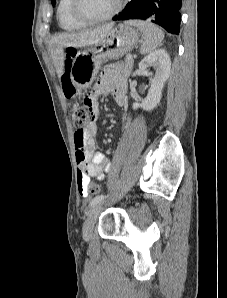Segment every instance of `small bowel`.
<instances>
[{"mask_svg":"<svg viewBox=\"0 0 227 298\" xmlns=\"http://www.w3.org/2000/svg\"><path fill=\"white\" fill-rule=\"evenodd\" d=\"M127 84L124 77L111 69L104 70L96 81L91 98H83L84 108L87 109L88 115H95L90 117V125L84 131L85 139V158L78 159L76 155L78 173H86V178H78L79 185L81 183H89L91 178L102 181L111 167V160L109 157L101 152L96 151L95 136L98 133V126L96 124L99 115V98L100 96L109 93L118 106H124L126 102ZM123 127L127 128L130 119L127 114L122 116ZM80 191V189H79ZM80 194L87 197L88 194L80 191Z\"/></svg>","mask_w":227,"mask_h":298,"instance_id":"1","label":"small bowel"}]
</instances>
